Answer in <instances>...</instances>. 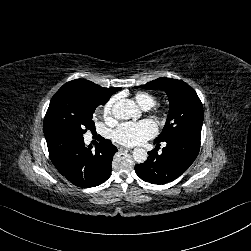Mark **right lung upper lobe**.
I'll return each mask as SVG.
<instances>
[{"label":"right lung upper lobe","instance_id":"right-lung-upper-lobe-1","mask_svg":"<svg viewBox=\"0 0 251 251\" xmlns=\"http://www.w3.org/2000/svg\"><path fill=\"white\" fill-rule=\"evenodd\" d=\"M64 85H75L84 88V90L88 93L89 99L99 105H104L109 100L112 94L121 89V88H103L85 79H76Z\"/></svg>","mask_w":251,"mask_h":251}]
</instances>
